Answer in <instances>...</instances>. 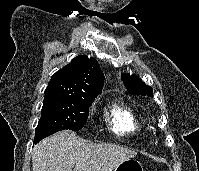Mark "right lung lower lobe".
I'll return each instance as SVG.
<instances>
[{
    "mask_svg": "<svg viewBox=\"0 0 199 171\" xmlns=\"http://www.w3.org/2000/svg\"><path fill=\"white\" fill-rule=\"evenodd\" d=\"M51 134H53V133H52V132H49V133H46V134L41 135L40 137H35V139H34V144L38 143L41 139H43V138H45V137H47V136H49V135H51Z\"/></svg>",
    "mask_w": 199,
    "mask_h": 171,
    "instance_id": "right-lung-lower-lobe-1",
    "label": "right lung lower lobe"
}]
</instances>
